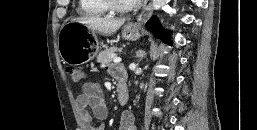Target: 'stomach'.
<instances>
[{"instance_id": "1", "label": "stomach", "mask_w": 257, "mask_h": 130, "mask_svg": "<svg viewBox=\"0 0 257 130\" xmlns=\"http://www.w3.org/2000/svg\"><path fill=\"white\" fill-rule=\"evenodd\" d=\"M94 31L76 21L65 23L58 35V49L62 61L69 65H80L92 60L98 53V46L89 41ZM122 37L136 41L140 38V27L127 23L122 29Z\"/></svg>"}]
</instances>
